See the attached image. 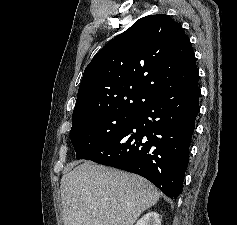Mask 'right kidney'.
I'll return each instance as SVG.
<instances>
[{"mask_svg":"<svg viewBox=\"0 0 237 225\" xmlns=\"http://www.w3.org/2000/svg\"><path fill=\"white\" fill-rule=\"evenodd\" d=\"M135 225H161V218L157 212H148Z\"/></svg>","mask_w":237,"mask_h":225,"instance_id":"obj_1","label":"right kidney"}]
</instances>
